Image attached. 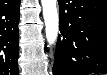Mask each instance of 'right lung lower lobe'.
<instances>
[{
	"mask_svg": "<svg viewBox=\"0 0 107 75\" xmlns=\"http://www.w3.org/2000/svg\"><path fill=\"white\" fill-rule=\"evenodd\" d=\"M18 0L0 2V75H18Z\"/></svg>",
	"mask_w": 107,
	"mask_h": 75,
	"instance_id": "obj_1",
	"label": "right lung lower lobe"
}]
</instances>
